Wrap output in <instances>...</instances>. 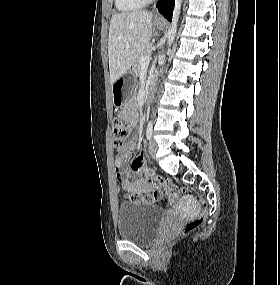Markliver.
<instances>
[{
	"label": "liver",
	"mask_w": 280,
	"mask_h": 285,
	"mask_svg": "<svg viewBox=\"0 0 280 285\" xmlns=\"http://www.w3.org/2000/svg\"><path fill=\"white\" fill-rule=\"evenodd\" d=\"M152 36L150 12L132 11L112 16L108 39L112 84L130 69L137 57L148 47Z\"/></svg>",
	"instance_id": "1"
}]
</instances>
